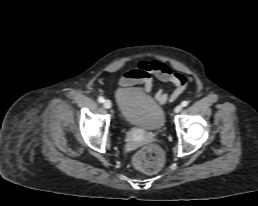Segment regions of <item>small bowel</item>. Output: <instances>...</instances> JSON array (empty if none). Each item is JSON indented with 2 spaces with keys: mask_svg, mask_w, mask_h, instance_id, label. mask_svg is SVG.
Returning <instances> with one entry per match:
<instances>
[{
  "mask_svg": "<svg viewBox=\"0 0 258 206\" xmlns=\"http://www.w3.org/2000/svg\"><path fill=\"white\" fill-rule=\"evenodd\" d=\"M157 79L162 82L170 83L173 86L171 92L159 89L155 99L159 104L173 102L183 92L186 85V77L180 72H174L165 63L158 60L140 61L135 68L128 69L120 78L122 87H130L135 84H142L144 91L150 93L153 81Z\"/></svg>",
  "mask_w": 258,
  "mask_h": 206,
  "instance_id": "c3829d8e",
  "label": "small bowel"
}]
</instances>
